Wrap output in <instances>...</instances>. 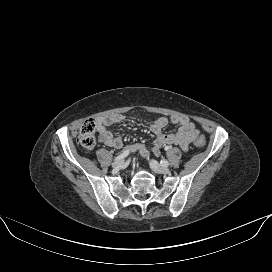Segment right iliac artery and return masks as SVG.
I'll list each match as a JSON object with an SVG mask.
<instances>
[{
    "mask_svg": "<svg viewBox=\"0 0 272 272\" xmlns=\"http://www.w3.org/2000/svg\"><path fill=\"white\" fill-rule=\"evenodd\" d=\"M131 151V147H126L114 160L123 159L126 157Z\"/></svg>",
    "mask_w": 272,
    "mask_h": 272,
    "instance_id": "right-iliac-artery-1",
    "label": "right iliac artery"
}]
</instances>
